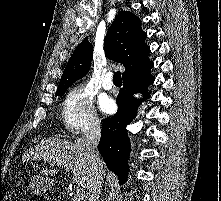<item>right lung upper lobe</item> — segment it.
Segmentation results:
<instances>
[{
  "instance_id": "1",
  "label": "right lung upper lobe",
  "mask_w": 221,
  "mask_h": 201,
  "mask_svg": "<svg viewBox=\"0 0 221 201\" xmlns=\"http://www.w3.org/2000/svg\"><path fill=\"white\" fill-rule=\"evenodd\" d=\"M147 35L141 21L128 11L118 13L104 39L106 56L125 66L123 77L149 66ZM93 46L86 37L75 49L62 74L57 92L66 91L76 80L86 75L91 66Z\"/></svg>"
}]
</instances>
